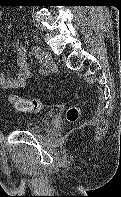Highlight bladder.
<instances>
[{
  "instance_id": "31cf9c89",
  "label": "bladder",
  "mask_w": 121,
  "mask_h": 197,
  "mask_svg": "<svg viewBox=\"0 0 121 197\" xmlns=\"http://www.w3.org/2000/svg\"><path fill=\"white\" fill-rule=\"evenodd\" d=\"M47 124V120L45 118L40 119L36 123H30L26 126V130L28 131H35Z\"/></svg>"
}]
</instances>
